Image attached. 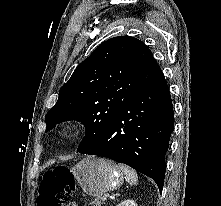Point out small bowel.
I'll return each instance as SVG.
<instances>
[{"instance_id": "small-bowel-1", "label": "small bowel", "mask_w": 221, "mask_h": 206, "mask_svg": "<svg viewBox=\"0 0 221 206\" xmlns=\"http://www.w3.org/2000/svg\"><path fill=\"white\" fill-rule=\"evenodd\" d=\"M67 206H78V205L75 203H69V204H67Z\"/></svg>"}]
</instances>
